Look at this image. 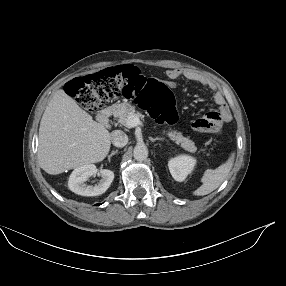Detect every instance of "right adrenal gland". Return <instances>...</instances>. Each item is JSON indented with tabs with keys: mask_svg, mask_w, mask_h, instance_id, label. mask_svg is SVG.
Returning a JSON list of instances; mask_svg holds the SVG:
<instances>
[{
	"mask_svg": "<svg viewBox=\"0 0 286 286\" xmlns=\"http://www.w3.org/2000/svg\"><path fill=\"white\" fill-rule=\"evenodd\" d=\"M118 153V151L116 150V151H112V153L109 155V160L111 159V157L113 156V155H115V154H117Z\"/></svg>",
	"mask_w": 286,
	"mask_h": 286,
	"instance_id": "1",
	"label": "right adrenal gland"
}]
</instances>
